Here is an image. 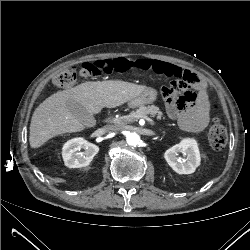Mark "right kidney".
<instances>
[{
  "mask_svg": "<svg viewBox=\"0 0 250 250\" xmlns=\"http://www.w3.org/2000/svg\"><path fill=\"white\" fill-rule=\"evenodd\" d=\"M83 149L84 151L80 152ZM99 148L79 137L67 141L62 149L64 163L69 168H81L90 164Z\"/></svg>",
  "mask_w": 250,
  "mask_h": 250,
  "instance_id": "obj_1",
  "label": "right kidney"
}]
</instances>
